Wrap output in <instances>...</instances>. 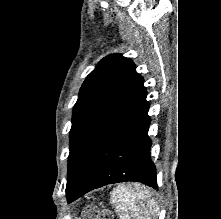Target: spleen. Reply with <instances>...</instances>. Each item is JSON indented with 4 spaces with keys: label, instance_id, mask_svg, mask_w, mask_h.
I'll return each mask as SVG.
<instances>
[{
    "label": "spleen",
    "instance_id": "spleen-1",
    "mask_svg": "<svg viewBox=\"0 0 221 219\" xmlns=\"http://www.w3.org/2000/svg\"><path fill=\"white\" fill-rule=\"evenodd\" d=\"M120 219H155L159 208L151 193L138 183L121 184L111 192Z\"/></svg>",
    "mask_w": 221,
    "mask_h": 219
}]
</instances>
